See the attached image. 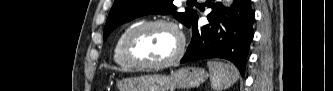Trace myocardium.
Instances as JSON below:
<instances>
[{"label":"myocardium","mask_w":333,"mask_h":91,"mask_svg":"<svg viewBox=\"0 0 333 91\" xmlns=\"http://www.w3.org/2000/svg\"><path fill=\"white\" fill-rule=\"evenodd\" d=\"M157 26L169 27L176 33L179 39L178 49L175 52V54L166 61L156 62V63L146 62L135 55L133 50L134 41L137 35L143 32L144 30ZM185 47H186L185 36L175 22L166 19H155V20L143 21L134 25L129 30L124 39L123 51L128 62L137 68L162 69L170 67L173 64L177 63L182 58L185 51Z\"/></svg>","instance_id":"1"}]
</instances>
